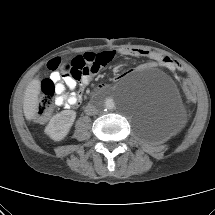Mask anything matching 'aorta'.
I'll use <instances>...</instances> for the list:
<instances>
[{"instance_id": "obj_1", "label": "aorta", "mask_w": 215, "mask_h": 215, "mask_svg": "<svg viewBox=\"0 0 215 215\" xmlns=\"http://www.w3.org/2000/svg\"><path fill=\"white\" fill-rule=\"evenodd\" d=\"M123 100L120 95L113 92H104L97 96L96 105L102 111H112L118 108L119 102Z\"/></svg>"}]
</instances>
